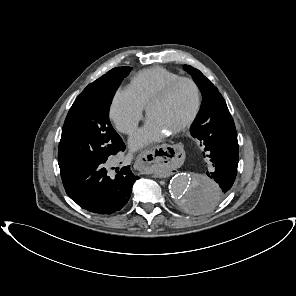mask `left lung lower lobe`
Wrapping results in <instances>:
<instances>
[{"instance_id": "1", "label": "left lung lower lobe", "mask_w": 296, "mask_h": 296, "mask_svg": "<svg viewBox=\"0 0 296 296\" xmlns=\"http://www.w3.org/2000/svg\"><path fill=\"white\" fill-rule=\"evenodd\" d=\"M200 128L198 136L204 145L203 154L214 167L207 175L218 185L216 188L206 185L200 196L192 191L193 200L189 206L206 210L221 201L232 188L237 175L239 151L235 124L227 105L216 111Z\"/></svg>"}]
</instances>
